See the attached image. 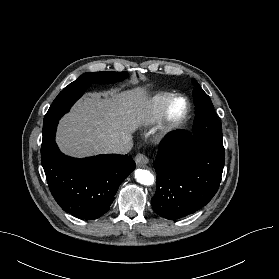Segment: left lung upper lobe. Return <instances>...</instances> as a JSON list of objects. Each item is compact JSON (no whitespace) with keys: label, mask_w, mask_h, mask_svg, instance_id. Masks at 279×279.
<instances>
[{"label":"left lung upper lobe","mask_w":279,"mask_h":279,"mask_svg":"<svg viewBox=\"0 0 279 279\" xmlns=\"http://www.w3.org/2000/svg\"><path fill=\"white\" fill-rule=\"evenodd\" d=\"M193 82L196 86V89L193 91L196 117L190 134L224 150L222 125L217 118L213 104L209 96L201 89L200 85L195 80Z\"/></svg>","instance_id":"5c2ea615"}]
</instances>
